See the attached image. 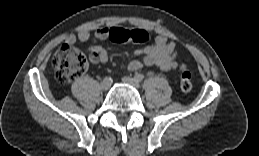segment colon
<instances>
[{
    "mask_svg": "<svg viewBox=\"0 0 259 156\" xmlns=\"http://www.w3.org/2000/svg\"><path fill=\"white\" fill-rule=\"evenodd\" d=\"M109 39L115 43H144L149 39V35L142 29L116 28L110 33ZM52 66L58 81L67 84L80 77L87 70L88 60L80 49L64 44L54 54ZM180 88L186 93L192 90L191 74L188 71L182 72L180 76Z\"/></svg>",
    "mask_w": 259,
    "mask_h": 156,
    "instance_id": "colon-1",
    "label": "colon"
}]
</instances>
